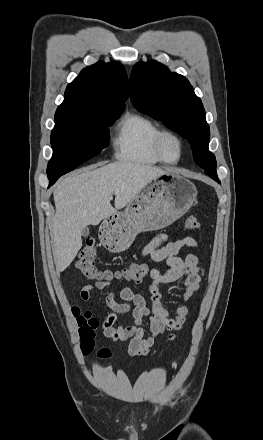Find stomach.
I'll use <instances>...</instances> for the list:
<instances>
[{
	"mask_svg": "<svg viewBox=\"0 0 263 440\" xmlns=\"http://www.w3.org/2000/svg\"><path fill=\"white\" fill-rule=\"evenodd\" d=\"M197 189L187 178L168 172L146 185L123 212L107 217L100 226L105 247L114 253L127 250L137 234L165 228L194 204Z\"/></svg>",
	"mask_w": 263,
	"mask_h": 440,
	"instance_id": "1",
	"label": "stomach"
}]
</instances>
